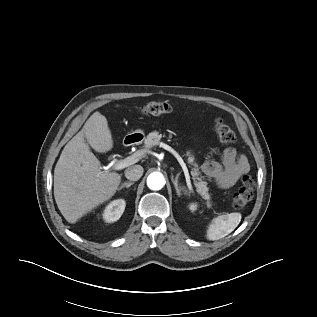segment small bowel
Listing matches in <instances>:
<instances>
[{"instance_id": "small-bowel-1", "label": "small bowel", "mask_w": 317, "mask_h": 317, "mask_svg": "<svg viewBox=\"0 0 317 317\" xmlns=\"http://www.w3.org/2000/svg\"><path fill=\"white\" fill-rule=\"evenodd\" d=\"M249 169L247 158L233 147L223 151L221 162L209 160L201 165L203 175L222 189L232 187Z\"/></svg>"}]
</instances>
